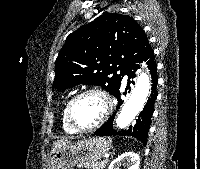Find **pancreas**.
<instances>
[{"label":"pancreas","mask_w":200,"mask_h":169,"mask_svg":"<svg viewBox=\"0 0 200 169\" xmlns=\"http://www.w3.org/2000/svg\"><path fill=\"white\" fill-rule=\"evenodd\" d=\"M107 160L101 161V162H96L93 164H86V165H79V167H85V168H89V169H104L106 164H107Z\"/></svg>","instance_id":"1"}]
</instances>
